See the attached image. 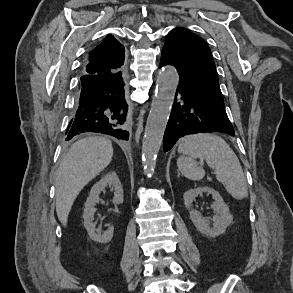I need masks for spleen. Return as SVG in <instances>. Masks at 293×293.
<instances>
[{"instance_id": "1", "label": "spleen", "mask_w": 293, "mask_h": 293, "mask_svg": "<svg viewBox=\"0 0 293 293\" xmlns=\"http://www.w3.org/2000/svg\"><path fill=\"white\" fill-rule=\"evenodd\" d=\"M178 152L181 155L177 166L186 178L198 181L204 177V169L195 161L202 158L215 170L216 179L233 198L241 200L248 196L240 162L223 138L209 133L188 135L180 140Z\"/></svg>"}]
</instances>
